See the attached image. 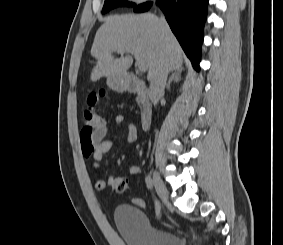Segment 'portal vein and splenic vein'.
I'll return each instance as SVG.
<instances>
[{"label": "portal vein and splenic vein", "mask_w": 283, "mask_h": 245, "mask_svg": "<svg viewBox=\"0 0 283 245\" xmlns=\"http://www.w3.org/2000/svg\"><path fill=\"white\" fill-rule=\"evenodd\" d=\"M135 57L137 60L136 64H137L139 71L145 72L148 69L146 62L142 60L138 55H135Z\"/></svg>", "instance_id": "portal-vein-and-splenic-vein-1"}]
</instances>
